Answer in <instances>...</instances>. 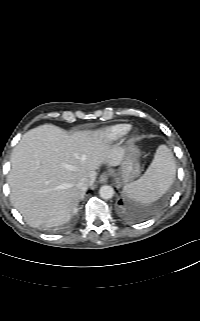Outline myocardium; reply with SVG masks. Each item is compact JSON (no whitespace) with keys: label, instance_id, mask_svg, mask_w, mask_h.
<instances>
[{"label":"myocardium","instance_id":"myocardium-1","mask_svg":"<svg viewBox=\"0 0 200 321\" xmlns=\"http://www.w3.org/2000/svg\"><path fill=\"white\" fill-rule=\"evenodd\" d=\"M126 135H127V140L129 142H133L137 138V131L129 130Z\"/></svg>","mask_w":200,"mask_h":321}]
</instances>
